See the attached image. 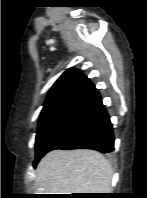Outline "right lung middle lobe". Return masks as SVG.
I'll list each match as a JSON object with an SVG mask.
<instances>
[{"label": "right lung middle lobe", "instance_id": "obj_1", "mask_svg": "<svg viewBox=\"0 0 147 198\" xmlns=\"http://www.w3.org/2000/svg\"><path fill=\"white\" fill-rule=\"evenodd\" d=\"M73 107L60 105L42 109L35 142L36 154L39 152L43 142L52 134Z\"/></svg>", "mask_w": 147, "mask_h": 198}]
</instances>
